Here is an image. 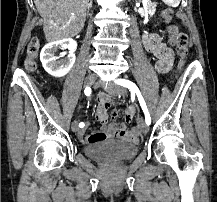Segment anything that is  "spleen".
Instances as JSON below:
<instances>
[{
	"instance_id": "1",
	"label": "spleen",
	"mask_w": 217,
	"mask_h": 202,
	"mask_svg": "<svg viewBox=\"0 0 217 202\" xmlns=\"http://www.w3.org/2000/svg\"><path fill=\"white\" fill-rule=\"evenodd\" d=\"M165 5H169V7H178L179 0H165Z\"/></svg>"
}]
</instances>
